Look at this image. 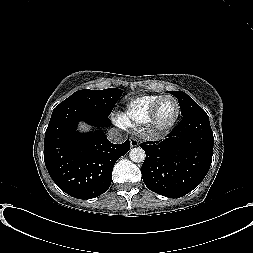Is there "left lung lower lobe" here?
Wrapping results in <instances>:
<instances>
[{"mask_svg":"<svg viewBox=\"0 0 253 253\" xmlns=\"http://www.w3.org/2000/svg\"><path fill=\"white\" fill-rule=\"evenodd\" d=\"M214 137L206 112L188 115L163 141L144 142L145 185L155 193L180 198L204 179L212 162Z\"/></svg>","mask_w":253,"mask_h":253,"instance_id":"0a47b994","label":"left lung lower lobe"}]
</instances>
